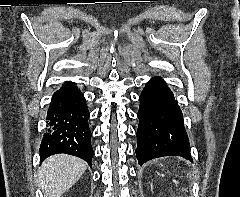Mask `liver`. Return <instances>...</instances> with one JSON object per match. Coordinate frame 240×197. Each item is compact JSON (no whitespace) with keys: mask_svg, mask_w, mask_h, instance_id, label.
Wrapping results in <instances>:
<instances>
[{"mask_svg":"<svg viewBox=\"0 0 240 197\" xmlns=\"http://www.w3.org/2000/svg\"><path fill=\"white\" fill-rule=\"evenodd\" d=\"M87 164L80 158L56 154L47 158L39 169L38 184L44 197H61L83 175Z\"/></svg>","mask_w":240,"mask_h":197,"instance_id":"obj_1","label":"liver"}]
</instances>
